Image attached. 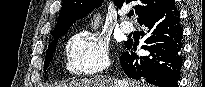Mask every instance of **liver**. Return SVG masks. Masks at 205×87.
Segmentation results:
<instances>
[{"instance_id": "6515ba94", "label": "liver", "mask_w": 205, "mask_h": 87, "mask_svg": "<svg viewBox=\"0 0 205 87\" xmlns=\"http://www.w3.org/2000/svg\"><path fill=\"white\" fill-rule=\"evenodd\" d=\"M117 83H121L120 87H149L146 83L141 82H128V81H115L108 78L97 76L93 79L74 80L69 83L56 85L55 87H117Z\"/></svg>"}]
</instances>
